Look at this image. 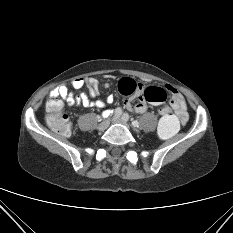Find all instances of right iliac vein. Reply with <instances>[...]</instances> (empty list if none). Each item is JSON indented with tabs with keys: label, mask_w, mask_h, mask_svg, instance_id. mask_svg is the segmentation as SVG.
Here are the masks:
<instances>
[{
	"label": "right iliac vein",
	"mask_w": 233,
	"mask_h": 233,
	"mask_svg": "<svg viewBox=\"0 0 233 233\" xmlns=\"http://www.w3.org/2000/svg\"><path fill=\"white\" fill-rule=\"evenodd\" d=\"M109 124H110V120H109V119L104 120L103 122H101V123L99 124L98 130H99V131H104V130H106V129L108 128Z\"/></svg>",
	"instance_id": "63e3f726"
}]
</instances>
